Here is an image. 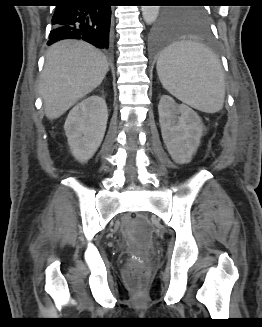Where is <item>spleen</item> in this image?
Here are the masks:
<instances>
[{
  "mask_svg": "<svg viewBox=\"0 0 262 327\" xmlns=\"http://www.w3.org/2000/svg\"><path fill=\"white\" fill-rule=\"evenodd\" d=\"M156 69L163 87L180 101L206 113L222 109V65L204 45L192 41L174 43L159 55Z\"/></svg>",
  "mask_w": 262,
  "mask_h": 327,
  "instance_id": "1",
  "label": "spleen"
}]
</instances>
